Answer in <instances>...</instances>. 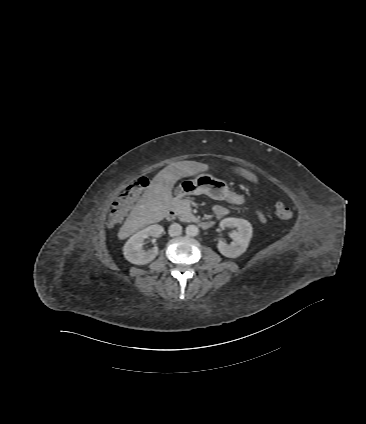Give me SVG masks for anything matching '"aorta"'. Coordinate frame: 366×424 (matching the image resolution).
Here are the masks:
<instances>
[{"instance_id":"aorta-1","label":"aorta","mask_w":366,"mask_h":424,"mask_svg":"<svg viewBox=\"0 0 366 424\" xmlns=\"http://www.w3.org/2000/svg\"><path fill=\"white\" fill-rule=\"evenodd\" d=\"M185 233L187 236H196L199 233V229L196 225H188L186 227Z\"/></svg>"}]
</instances>
